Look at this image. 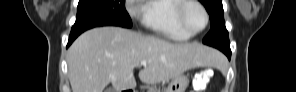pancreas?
<instances>
[{
	"instance_id": "obj_1",
	"label": "pancreas",
	"mask_w": 296,
	"mask_h": 92,
	"mask_svg": "<svg viewBox=\"0 0 296 92\" xmlns=\"http://www.w3.org/2000/svg\"><path fill=\"white\" fill-rule=\"evenodd\" d=\"M158 91H159V90H158ZM150 92H154V90L151 89Z\"/></svg>"
}]
</instances>
